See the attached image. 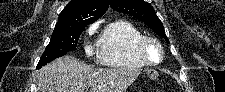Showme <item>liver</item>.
Instances as JSON below:
<instances>
[{
    "label": "liver",
    "mask_w": 225,
    "mask_h": 92,
    "mask_svg": "<svg viewBox=\"0 0 225 92\" xmlns=\"http://www.w3.org/2000/svg\"><path fill=\"white\" fill-rule=\"evenodd\" d=\"M139 69H95L66 55L38 72V92H125L137 79Z\"/></svg>",
    "instance_id": "obj_1"
}]
</instances>
